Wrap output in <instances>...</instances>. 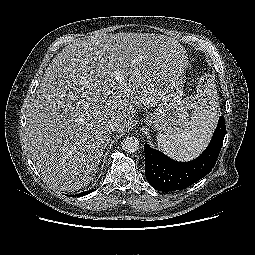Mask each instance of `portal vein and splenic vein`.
<instances>
[{"label":"portal vein and splenic vein","instance_id":"18ae733b","mask_svg":"<svg viewBox=\"0 0 255 255\" xmlns=\"http://www.w3.org/2000/svg\"><path fill=\"white\" fill-rule=\"evenodd\" d=\"M114 76H115L116 80L120 79V73L119 72L115 71Z\"/></svg>","mask_w":255,"mask_h":255}]
</instances>
